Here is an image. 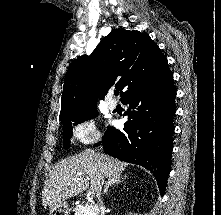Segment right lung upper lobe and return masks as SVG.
Listing matches in <instances>:
<instances>
[{
  "label": "right lung upper lobe",
  "instance_id": "right-lung-upper-lobe-1",
  "mask_svg": "<svg viewBox=\"0 0 221 215\" xmlns=\"http://www.w3.org/2000/svg\"><path fill=\"white\" fill-rule=\"evenodd\" d=\"M168 69L167 59L147 34L114 29L90 56H80L70 64L59 118L96 108L97 98L113 85L120 89L122 100Z\"/></svg>",
  "mask_w": 221,
  "mask_h": 215
}]
</instances>
